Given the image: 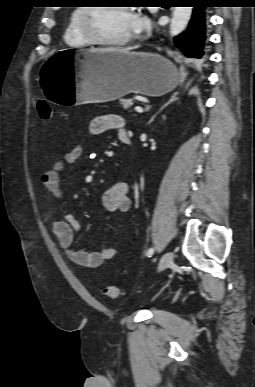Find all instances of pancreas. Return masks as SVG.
<instances>
[{
	"mask_svg": "<svg viewBox=\"0 0 255 387\" xmlns=\"http://www.w3.org/2000/svg\"><path fill=\"white\" fill-rule=\"evenodd\" d=\"M120 104L125 108L128 109L133 105V101L131 99H120Z\"/></svg>",
	"mask_w": 255,
	"mask_h": 387,
	"instance_id": "obj_1",
	"label": "pancreas"
}]
</instances>
